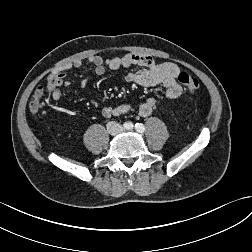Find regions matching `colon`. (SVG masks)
Here are the masks:
<instances>
[{"label": "colon", "instance_id": "obj_1", "mask_svg": "<svg viewBox=\"0 0 252 252\" xmlns=\"http://www.w3.org/2000/svg\"><path fill=\"white\" fill-rule=\"evenodd\" d=\"M177 80L191 94H194L199 89V86H200L199 81L192 74H189L187 72H181L178 74ZM42 91H43V88L39 86L35 92L34 100L30 104V110L32 113H36L38 111V103H39L40 97L42 96Z\"/></svg>", "mask_w": 252, "mask_h": 252}]
</instances>
